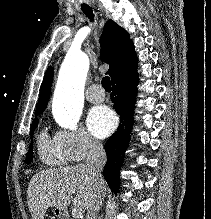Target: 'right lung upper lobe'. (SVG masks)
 <instances>
[{
  "label": "right lung upper lobe",
  "mask_w": 211,
  "mask_h": 219,
  "mask_svg": "<svg viewBox=\"0 0 211 219\" xmlns=\"http://www.w3.org/2000/svg\"><path fill=\"white\" fill-rule=\"evenodd\" d=\"M100 43L101 59L110 65L107 74L111 76V80L137 64L138 60L129 34L114 21L106 22ZM52 79L53 69L49 67L41 85L35 114H41L48 104Z\"/></svg>",
  "instance_id": "cb5924a9"
}]
</instances>
